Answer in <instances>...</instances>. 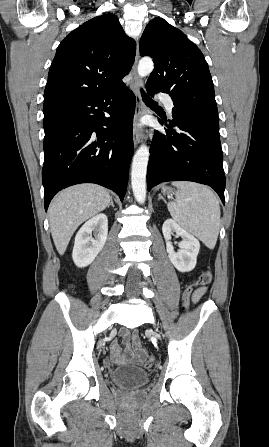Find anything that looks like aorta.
I'll use <instances>...</instances> for the list:
<instances>
[{
  "instance_id": "762f6f07",
  "label": "aorta",
  "mask_w": 269,
  "mask_h": 447,
  "mask_svg": "<svg viewBox=\"0 0 269 447\" xmlns=\"http://www.w3.org/2000/svg\"><path fill=\"white\" fill-rule=\"evenodd\" d=\"M154 68L152 58H142L137 66V74L140 78H145L149 76ZM149 148L142 144L135 152L132 162V172H131V186L133 194L139 202V204H144L146 200V172L149 160Z\"/></svg>"
}]
</instances>
